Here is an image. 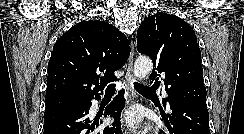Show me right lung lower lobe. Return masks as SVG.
I'll return each mask as SVG.
<instances>
[{"mask_svg": "<svg viewBox=\"0 0 244 134\" xmlns=\"http://www.w3.org/2000/svg\"><path fill=\"white\" fill-rule=\"evenodd\" d=\"M123 93L124 91H121L105 109L104 116L115 119L112 125L95 130V127L99 126V121L92 122L88 117L92 105V99H89L45 113L43 134H122L119 117L125 106ZM95 99H100V96Z\"/></svg>", "mask_w": 244, "mask_h": 134, "instance_id": "98d812e1", "label": "right lung lower lobe"}]
</instances>
